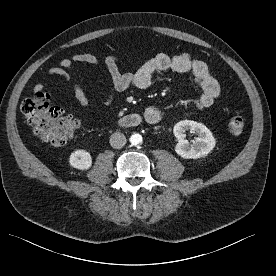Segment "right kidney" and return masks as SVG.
Returning <instances> with one entry per match:
<instances>
[{
	"instance_id": "right-kidney-1",
	"label": "right kidney",
	"mask_w": 276,
	"mask_h": 276,
	"mask_svg": "<svg viewBox=\"0 0 276 276\" xmlns=\"http://www.w3.org/2000/svg\"><path fill=\"white\" fill-rule=\"evenodd\" d=\"M69 164L79 170H88L92 166V157L89 152L79 149L70 155Z\"/></svg>"
}]
</instances>
